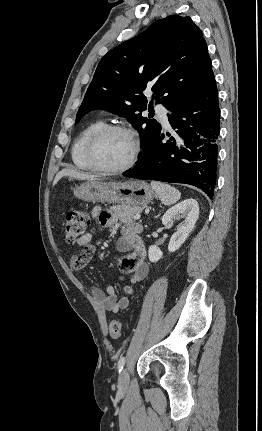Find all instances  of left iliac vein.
I'll list each match as a JSON object with an SVG mask.
<instances>
[{"mask_svg":"<svg viewBox=\"0 0 262 431\" xmlns=\"http://www.w3.org/2000/svg\"><path fill=\"white\" fill-rule=\"evenodd\" d=\"M118 384H119V387L122 389H125L127 387V385H128V372L126 369H123L119 373Z\"/></svg>","mask_w":262,"mask_h":431,"instance_id":"obj_1","label":"left iliac vein"}]
</instances>
